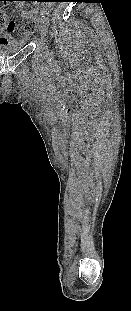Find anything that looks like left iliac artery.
<instances>
[{
    "mask_svg": "<svg viewBox=\"0 0 131 311\" xmlns=\"http://www.w3.org/2000/svg\"><path fill=\"white\" fill-rule=\"evenodd\" d=\"M43 18H41V22L44 24H47V23H49V20H48V18H46V17H44V16H42Z\"/></svg>",
    "mask_w": 131,
    "mask_h": 311,
    "instance_id": "1",
    "label": "left iliac artery"
}]
</instances>
